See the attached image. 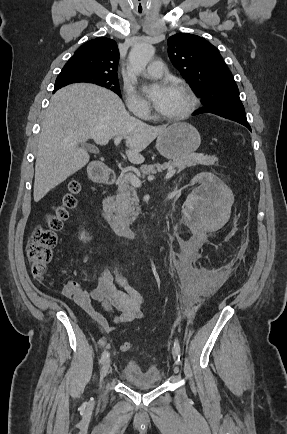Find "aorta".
Here are the masks:
<instances>
[{
  "label": "aorta",
  "instance_id": "obj_1",
  "mask_svg": "<svg viewBox=\"0 0 287 434\" xmlns=\"http://www.w3.org/2000/svg\"><path fill=\"white\" fill-rule=\"evenodd\" d=\"M154 53L155 48L150 44L135 45L129 54L130 72L137 75L145 70Z\"/></svg>",
  "mask_w": 287,
  "mask_h": 434
}]
</instances>
